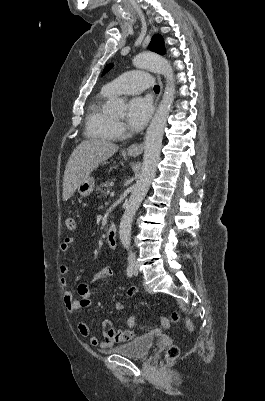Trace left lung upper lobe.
<instances>
[{"label": "left lung upper lobe", "instance_id": "left-lung-upper-lobe-1", "mask_svg": "<svg viewBox=\"0 0 265 401\" xmlns=\"http://www.w3.org/2000/svg\"><path fill=\"white\" fill-rule=\"evenodd\" d=\"M149 49L151 51H154V52H156L158 54H161V55L166 53L165 47H164V43H163V39H162V37L160 35L153 36V38H152V40H151V42L149 44ZM112 67H113L112 64L107 65L105 67L104 71H103V74H105L107 71H109Z\"/></svg>", "mask_w": 265, "mask_h": 401}]
</instances>
